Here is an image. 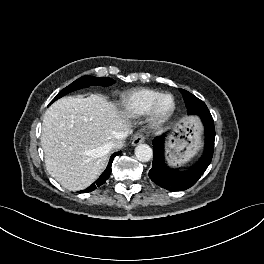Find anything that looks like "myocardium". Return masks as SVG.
<instances>
[{"instance_id":"obj_1","label":"myocardium","mask_w":264,"mask_h":264,"mask_svg":"<svg viewBox=\"0 0 264 264\" xmlns=\"http://www.w3.org/2000/svg\"><path fill=\"white\" fill-rule=\"evenodd\" d=\"M167 98L171 100V105L168 109H162V103ZM175 109L176 101L174 96L169 93L162 94L153 103L148 113L149 125L154 129L160 128L172 117L175 112Z\"/></svg>"}]
</instances>
